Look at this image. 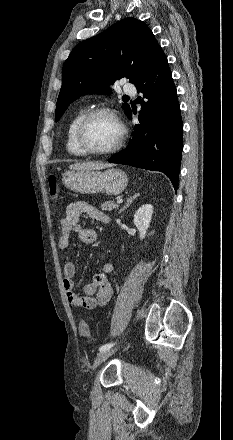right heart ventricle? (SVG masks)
<instances>
[{"label":"right heart ventricle","instance_id":"1","mask_svg":"<svg viewBox=\"0 0 233 440\" xmlns=\"http://www.w3.org/2000/svg\"><path fill=\"white\" fill-rule=\"evenodd\" d=\"M85 112L86 111L84 109H80L79 111H77L70 120L67 127L66 150L68 151L69 154L76 157H83L86 155L79 149L75 141L76 126Z\"/></svg>","mask_w":233,"mask_h":440}]
</instances>
